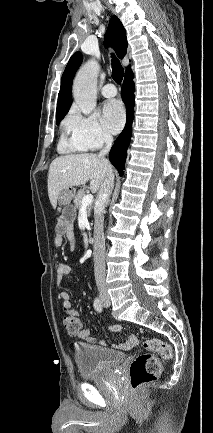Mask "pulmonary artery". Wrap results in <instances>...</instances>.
Wrapping results in <instances>:
<instances>
[{
	"instance_id": "e3ab8cb5",
	"label": "pulmonary artery",
	"mask_w": 213,
	"mask_h": 433,
	"mask_svg": "<svg viewBox=\"0 0 213 433\" xmlns=\"http://www.w3.org/2000/svg\"><path fill=\"white\" fill-rule=\"evenodd\" d=\"M101 93L104 97L111 98L117 95V89L114 84L109 83L102 88Z\"/></svg>"
}]
</instances>
